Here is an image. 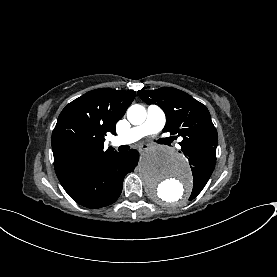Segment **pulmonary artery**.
Masks as SVG:
<instances>
[{"label":"pulmonary artery","mask_w":277,"mask_h":277,"mask_svg":"<svg viewBox=\"0 0 277 277\" xmlns=\"http://www.w3.org/2000/svg\"><path fill=\"white\" fill-rule=\"evenodd\" d=\"M165 122L166 118L162 109L158 106H151L146 110L145 118L141 123L116 138L113 143L117 145L133 143L149 133L159 132Z\"/></svg>","instance_id":"obj_1"}]
</instances>
